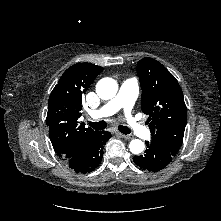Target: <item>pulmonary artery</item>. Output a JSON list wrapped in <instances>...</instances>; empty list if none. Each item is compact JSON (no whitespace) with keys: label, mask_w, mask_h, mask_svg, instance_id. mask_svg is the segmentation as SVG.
<instances>
[{"label":"pulmonary artery","mask_w":221,"mask_h":221,"mask_svg":"<svg viewBox=\"0 0 221 221\" xmlns=\"http://www.w3.org/2000/svg\"><path fill=\"white\" fill-rule=\"evenodd\" d=\"M138 92L139 85L137 79L131 78L125 80L122 83L118 94L99 110L92 112L91 117L94 119L107 117L120 109H124L130 129L138 136L146 137L148 135V130L130 115L138 96Z\"/></svg>","instance_id":"1"}]
</instances>
